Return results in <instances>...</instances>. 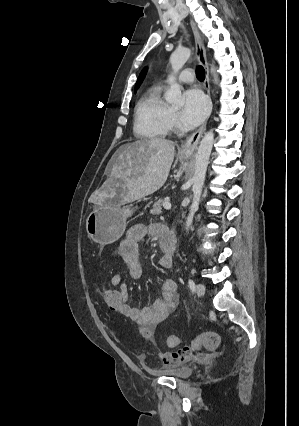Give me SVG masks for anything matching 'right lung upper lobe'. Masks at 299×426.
Returning a JSON list of instances; mask_svg holds the SVG:
<instances>
[{
  "label": "right lung upper lobe",
  "instance_id": "right-lung-upper-lobe-1",
  "mask_svg": "<svg viewBox=\"0 0 299 426\" xmlns=\"http://www.w3.org/2000/svg\"><path fill=\"white\" fill-rule=\"evenodd\" d=\"M145 74H146V68H144L141 71V73H140V75L138 77V80H137L136 85H135V91L139 88L140 84L142 83V81H143V79L145 77Z\"/></svg>",
  "mask_w": 299,
  "mask_h": 426
}]
</instances>
